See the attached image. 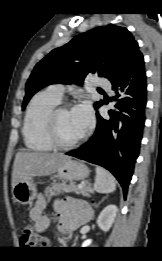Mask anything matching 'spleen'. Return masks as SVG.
Segmentation results:
<instances>
[{
  "label": "spleen",
  "instance_id": "obj_1",
  "mask_svg": "<svg viewBox=\"0 0 162 261\" xmlns=\"http://www.w3.org/2000/svg\"><path fill=\"white\" fill-rule=\"evenodd\" d=\"M94 190L101 194H107L116 190V180L106 169L97 166Z\"/></svg>",
  "mask_w": 162,
  "mask_h": 261
}]
</instances>
